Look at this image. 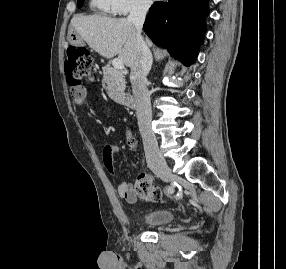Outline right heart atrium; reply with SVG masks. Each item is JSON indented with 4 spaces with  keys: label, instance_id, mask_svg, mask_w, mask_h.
Listing matches in <instances>:
<instances>
[{
    "label": "right heart atrium",
    "instance_id": "right-heart-atrium-1",
    "mask_svg": "<svg viewBox=\"0 0 286 269\" xmlns=\"http://www.w3.org/2000/svg\"><path fill=\"white\" fill-rule=\"evenodd\" d=\"M114 13L125 16L131 13H143L148 11L151 0H111Z\"/></svg>",
    "mask_w": 286,
    "mask_h": 269
}]
</instances>
